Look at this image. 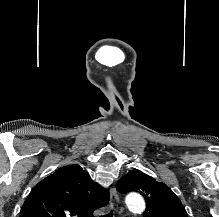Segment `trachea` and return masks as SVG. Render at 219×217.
<instances>
[{"mask_svg": "<svg viewBox=\"0 0 219 217\" xmlns=\"http://www.w3.org/2000/svg\"><path fill=\"white\" fill-rule=\"evenodd\" d=\"M101 217H113V212L111 211L108 214L101 216Z\"/></svg>", "mask_w": 219, "mask_h": 217, "instance_id": "trachea-1", "label": "trachea"}]
</instances>
